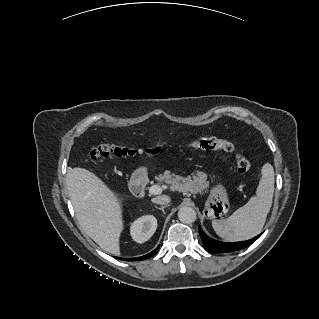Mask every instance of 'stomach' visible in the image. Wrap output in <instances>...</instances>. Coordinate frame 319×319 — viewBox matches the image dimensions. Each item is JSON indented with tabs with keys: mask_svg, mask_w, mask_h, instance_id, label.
<instances>
[{
	"mask_svg": "<svg viewBox=\"0 0 319 319\" xmlns=\"http://www.w3.org/2000/svg\"><path fill=\"white\" fill-rule=\"evenodd\" d=\"M211 205L208 206L209 212L216 215H222L227 212V206L224 199V192L220 188H215L211 192V197L209 199Z\"/></svg>",
	"mask_w": 319,
	"mask_h": 319,
	"instance_id": "1",
	"label": "stomach"
}]
</instances>
